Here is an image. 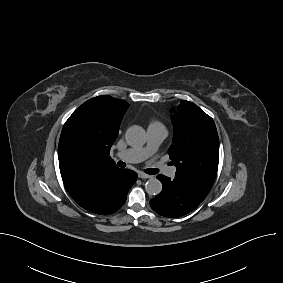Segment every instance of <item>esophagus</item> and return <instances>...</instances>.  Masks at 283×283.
<instances>
[{
	"mask_svg": "<svg viewBox=\"0 0 283 283\" xmlns=\"http://www.w3.org/2000/svg\"><path fill=\"white\" fill-rule=\"evenodd\" d=\"M138 177L139 178H142V179H148V178H151L152 176L151 175H148V174H145L143 172H139L138 173Z\"/></svg>",
	"mask_w": 283,
	"mask_h": 283,
	"instance_id": "obj_1",
	"label": "esophagus"
}]
</instances>
